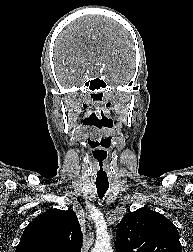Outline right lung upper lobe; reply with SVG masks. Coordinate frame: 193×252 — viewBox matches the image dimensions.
Returning a JSON list of instances; mask_svg holds the SVG:
<instances>
[{
    "instance_id": "cb5924a9",
    "label": "right lung upper lobe",
    "mask_w": 193,
    "mask_h": 252,
    "mask_svg": "<svg viewBox=\"0 0 193 252\" xmlns=\"http://www.w3.org/2000/svg\"><path fill=\"white\" fill-rule=\"evenodd\" d=\"M82 232L73 210L52 209L23 231L16 252H80Z\"/></svg>"
}]
</instances>
